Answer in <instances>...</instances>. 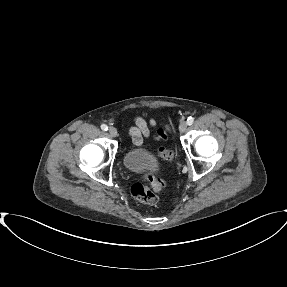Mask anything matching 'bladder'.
Returning a JSON list of instances; mask_svg holds the SVG:
<instances>
[{
  "label": "bladder",
  "instance_id": "31cf9c89",
  "mask_svg": "<svg viewBox=\"0 0 287 287\" xmlns=\"http://www.w3.org/2000/svg\"><path fill=\"white\" fill-rule=\"evenodd\" d=\"M123 165L133 173H148L158 168L156 158L145 148H133L126 151L123 155Z\"/></svg>",
  "mask_w": 287,
  "mask_h": 287
}]
</instances>
